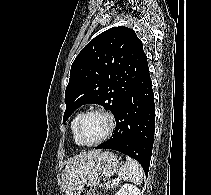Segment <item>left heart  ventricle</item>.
Here are the masks:
<instances>
[{"label": "left heart ventricle", "instance_id": "b2bd125f", "mask_svg": "<svg viewBox=\"0 0 211 195\" xmlns=\"http://www.w3.org/2000/svg\"><path fill=\"white\" fill-rule=\"evenodd\" d=\"M108 129V120L99 113L85 116L79 127V138L82 142L92 143L100 139Z\"/></svg>", "mask_w": 211, "mask_h": 195}]
</instances>
